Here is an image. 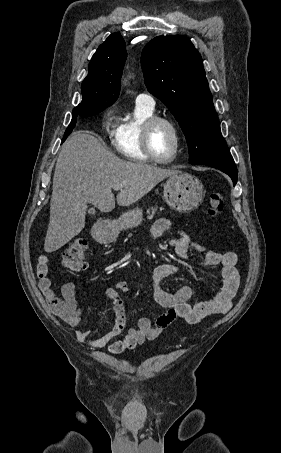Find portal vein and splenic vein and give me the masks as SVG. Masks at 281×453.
<instances>
[{
    "label": "portal vein and splenic vein",
    "mask_w": 281,
    "mask_h": 453,
    "mask_svg": "<svg viewBox=\"0 0 281 453\" xmlns=\"http://www.w3.org/2000/svg\"><path fill=\"white\" fill-rule=\"evenodd\" d=\"M113 188L114 190H120V188H122V184H114Z\"/></svg>",
    "instance_id": "obj_1"
}]
</instances>
